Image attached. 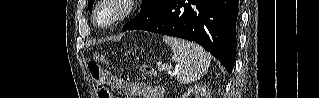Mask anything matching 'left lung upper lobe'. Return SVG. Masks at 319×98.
Listing matches in <instances>:
<instances>
[{
  "mask_svg": "<svg viewBox=\"0 0 319 98\" xmlns=\"http://www.w3.org/2000/svg\"><path fill=\"white\" fill-rule=\"evenodd\" d=\"M165 0H142V9L140 13L131 21L126 23L123 28L130 30L139 29L156 19L162 11ZM95 0H88L89 11L91 12Z\"/></svg>",
  "mask_w": 319,
  "mask_h": 98,
  "instance_id": "left-lung-upper-lobe-1",
  "label": "left lung upper lobe"
}]
</instances>
